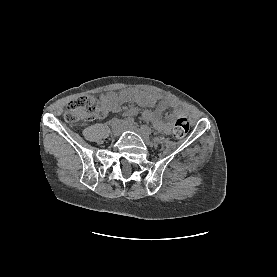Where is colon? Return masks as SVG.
Masks as SVG:
<instances>
[{"label":"colon","mask_w":277,"mask_h":277,"mask_svg":"<svg viewBox=\"0 0 277 277\" xmlns=\"http://www.w3.org/2000/svg\"><path fill=\"white\" fill-rule=\"evenodd\" d=\"M101 108L96 96L85 95L71 101L65 112V119L71 124L82 120H92L100 117ZM189 131V123L185 118L176 120L172 134L175 138H183Z\"/></svg>","instance_id":"1"}]
</instances>
